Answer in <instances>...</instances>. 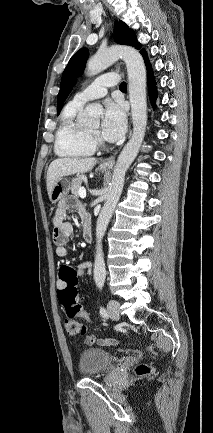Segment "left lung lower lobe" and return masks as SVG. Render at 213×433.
<instances>
[{"label": "left lung lower lobe", "instance_id": "obj_1", "mask_svg": "<svg viewBox=\"0 0 213 433\" xmlns=\"http://www.w3.org/2000/svg\"><path fill=\"white\" fill-rule=\"evenodd\" d=\"M142 56L145 60V64H146L147 69H148V88H149L150 100H151L153 107H155V101L157 98L156 82H155V79L153 77V74H150L152 69H151V65L148 61L147 53L145 52L144 54H142Z\"/></svg>", "mask_w": 213, "mask_h": 433}]
</instances>
